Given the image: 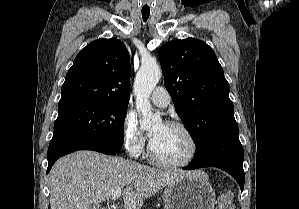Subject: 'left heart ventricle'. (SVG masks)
Wrapping results in <instances>:
<instances>
[{
  "instance_id": "1",
  "label": "left heart ventricle",
  "mask_w": 299,
  "mask_h": 209,
  "mask_svg": "<svg viewBox=\"0 0 299 209\" xmlns=\"http://www.w3.org/2000/svg\"><path fill=\"white\" fill-rule=\"evenodd\" d=\"M150 134L154 137L151 142L155 155L167 162H179L190 153L191 144L187 136L179 129L156 125Z\"/></svg>"
}]
</instances>
